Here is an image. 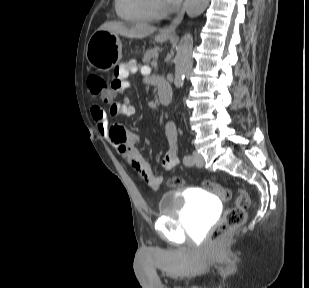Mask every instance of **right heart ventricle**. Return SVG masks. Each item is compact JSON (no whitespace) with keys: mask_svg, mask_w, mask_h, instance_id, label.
<instances>
[{"mask_svg":"<svg viewBox=\"0 0 309 288\" xmlns=\"http://www.w3.org/2000/svg\"><path fill=\"white\" fill-rule=\"evenodd\" d=\"M115 8L122 19L134 23L152 22L158 16L152 0H115Z\"/></svg>","mask_w":309,"mask_h":288,"instance_id":"obj_1","label":"right heart ventricle"}]
</instances>
